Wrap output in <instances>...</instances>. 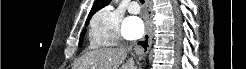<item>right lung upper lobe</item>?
I'll return each mask as SVG.
<instances>
[{
    "instance_id": "right-lung-upper-lobe-1",
    "label": "right lung upper lobe",
    "mask_w": 246,
    "mask_h": 69,
    "mask_svg": "<svg viewBox=\"0 0 246 69\" xmlns=\"http://www.w3.org/2000/svg\"><path fill=\"white\" fill-rule=\"evenodd\" d=\"M111 0H96L86 21H89L94 13L107 6Z\"/></svg>"
}]
</instances>
